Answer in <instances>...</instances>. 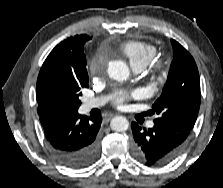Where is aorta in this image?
<instances>
[{
	"instance_id": "1",
	"label": "aorta",
	"mask_w": 223,
	"mask_h": 188,
	"mask_svg": "<svg viewBox=\"0 0 223 188\" xmlns=\"http://www.w3.org/2000/svg\"><path fill=\"white\" fill-rule=\"evenodd\" d=\"M108 75L116 81H124L129 77V68L125 62L114 60L109 62ZM110 127L113 131L124 132L129 127L128 120L123 116H116L111 120Z\"/></svg>"
}]
</instances>
